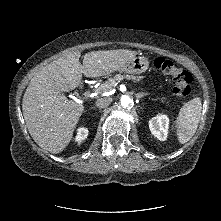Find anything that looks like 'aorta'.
Listing matches in <instances>:
<instances>
[{"instance_id": "obj_1", "label": "aorta", "mask_w": 221, "mask_h": 221, "mask_svg": "<svg viewBox=\"0 0 221 221\" xmlns=\"http://www.w3.org/2000/svg\"><path fill=\"white\" fill-rule=\"evenodd\" d=\"M133 104V99L130 98L129 96H123L121 98V105L124 108H129Z\"/></svg>"}]
</instances>
